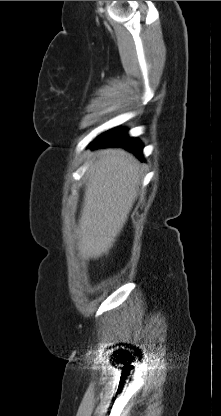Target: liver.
I'll use <instances>...</instances> for the list:
<instances>
[{"instance_id":"6515ba94","label":"liver","mask_w":221,"mask_h":416,"mask_svg":"<svg viewBox=\"0 0 221 416\" xmlns=\"http://www.w3.org/2000/svg\"><path fill=\"white\" fill-rule=\"evenodd\" d=\"M95 156L88 169L77 235L80 254L97 259L108 253L127 221L141 171L135 156L123 149H100Z\"/></svg>"}]
</instances>
